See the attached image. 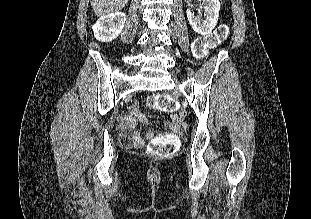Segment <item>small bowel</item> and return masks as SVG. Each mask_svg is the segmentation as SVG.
I'll return each mask as SVG.
<instances>
[{
	"instance_id": "obj_1",
	"label": "small bowel",
	"mask_w": 311,
	"mask_h": 219,
	"mask_svg": "<svg viewBox=\"0 0 311 219\" xmlns=\"http://www.w3.org/2000/svg\"><path fill=\"white\" fill-rule=\"evenodd\" d=\"M132 116L131 117H128L125 119V124L131 128L132 126H134L135 124L137 123H145L146 122V118L145 116L139 111L138 109V105L137 103L133 104L132 105ZM171 129L174 131V132H180L181 131V128L178 126L177 123H172L171 124ZM136 137L134 135H131V134H126L125 135V139L126 141H130L131 139H135Z\"/></svg>"
}]
</instances>
